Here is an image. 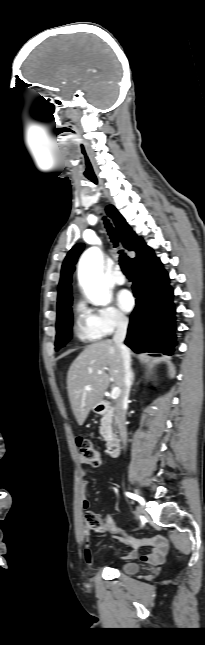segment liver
<instances>
[{
	"mask_svg": "<svg viewBox=\"0 0 205 645\" xmlns=\"http://www.w3.org/2000/svg\"><path fill=\"white\" fill-rule=\"evenodd\" d=\"M123 379L121 353L113 340L92 343L78 355L67 374V390L80 426L90 410L102 401L110 382L123 388Z\"/></svg>",
	"mask_w": 205,
	"mask_h": 645,
	"instance_id": "1",
	"label": "liver"
}]
</instances>
